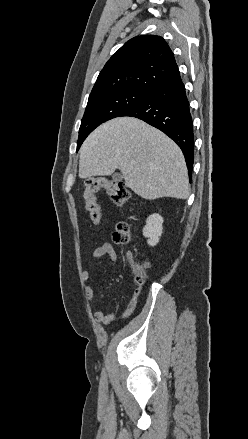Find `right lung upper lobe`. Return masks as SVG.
Returning a JSON list of instances; mask_svg holds the SVG:
<instances>
[{
  "instance_id": "cb5924a9",
  "label": "right lung upper lobe",
  "mask_w": 248,
  "mask_h": 439,
  "mask_svg": "<svg viewBox=\"0 0 248 439\" xmlns=\"http://www.w3.org/2000/svg\"><path fill=\"white\" fill-rule=\"evenodd\" d=\"M180 76L174 54L160 36H137L105 64L88 100L121 90L151 93Z\"/></svg>"
}]
</instances>
